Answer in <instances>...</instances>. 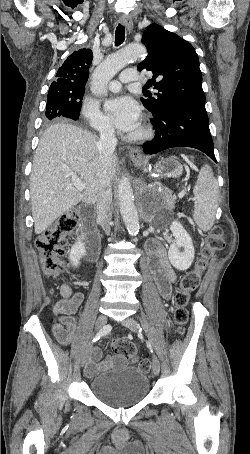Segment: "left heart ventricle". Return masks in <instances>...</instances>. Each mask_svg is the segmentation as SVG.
<instances>
[{
    "mask_svg": "<svg viewBox=\"0 0 250 454\" xmlns=\"http://www.w3.org/2000/svg\"><path fill=\"white\" fill-rule=\"evenodd\" d=\"M140 130V127L138 126L135 130H133L132 132H130V135H134V134H137Z\"/></svg>",
    "mask_w": 250,
    "mask_h": 454,
    "instance_id": "left-heart-ventricle-1",
    "label": "left heart ventricle"
}]
</instances>
